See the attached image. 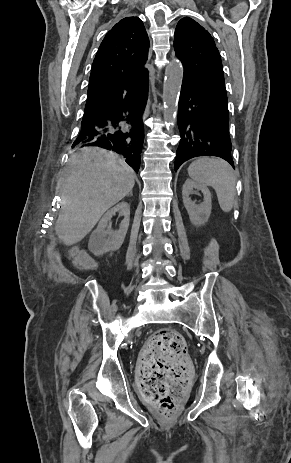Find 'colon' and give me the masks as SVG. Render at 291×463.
<instances>
[{"mask_svg": "<svg viewBox=\"0 0 291 463\" xmlns=\"http://www.w3.org/2000/svg\"><path fill=\"white\" fill-rule=\"evenodd\" d=\"M73 264L81 269L93 266L91 257L83 250L71 253ZM184 337L172 329L157 331L143 348L138 367L143 397L157 407L163 418H171L178 398L190 377Z\"/></svg>", "mask_w": 291, "mask_h": 463, "instance_id": "obj_1", "label": "colon"}]
</instances>
